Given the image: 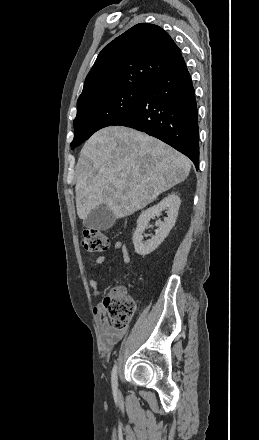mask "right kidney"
I'll use <instances>...</instances> for the list:
<instances>
[{
	"instance_id": "ca27d5eb",
	"label": "right kidney",
	"mask_w": 259,
	"mask_h": 440,
	"mask_svg": "<svg viewBox=\"0 0 259 440\" xmlns=\"http://www.w3.org/2000/svg\"><path fill=\"white\" fill-rule=\"evenodd\" d=\"M180 204V198L175 194H171L157 205L142 211L138 217L137 227L132 238L137 254L146 256L153 252L164 241L170 230L175 225ZM163 210H166L167 217L164 219V221L158 220L156 222L158 229L156 230L155 235L152 236L151 239H148L144 242L142 234L145 229H147L149 221L152 218L159 217Z\"/></svg>"
}]
</instances>
